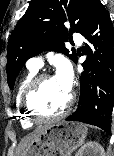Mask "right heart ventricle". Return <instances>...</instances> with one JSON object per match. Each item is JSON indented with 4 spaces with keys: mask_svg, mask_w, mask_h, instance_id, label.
<instances>
[{
    "mask_svg": "<svg viewBox=\"0 0 114 156\" xmlns=\"http://www.w3.org/2000/svg\"><path fill=\"white\" fill-rule=\"evenodd\" d=\"M37 71L38 70L29 67L28 71L20 79L16 90V95H15V105L17 108L16 114L20 119L21 126L25 129L32 127L35 122L29 119L26 113L24 112L21 105V98L26 86L36 76Z\"/></svg>",
    "mask_w": 114,
    "mask_h": 156,
    "instance_id": "e07e8e85",
    "label": "right heart ventricle"
}]
</instances>
